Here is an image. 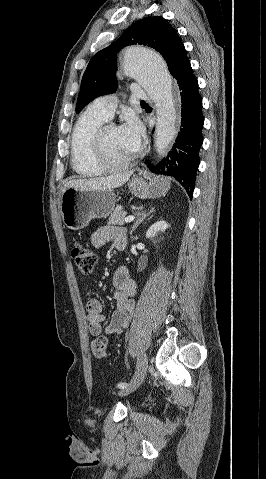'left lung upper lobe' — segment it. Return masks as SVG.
<instances>
[{"label": "left lung upper lobe", "mask_w": 266, "mask_h": 479, "mask_svg": "<svg viewBox=\"0 0 266 479\" xmlns=\"http://www.w3.org/2000/svg\"><path fill=\"white\" fill-rule=\"evenodd\" d=\"M143 44L154 48L166 60L173 77L189 61L177 31L160 16L146 17L132 24L117 41L96 53L82 78L76 113L89 102L117 89L116 55L123 47Z\"/></svg>", "instance_id": "5c2ea615"}]
</instances>
